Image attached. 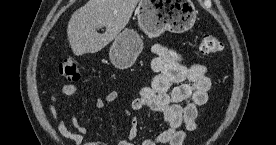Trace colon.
<instances>
[{
  "instance_id": "1",
  "label": "colon",
  "mask_w": 276,
  "mask_h": 145,
  "mask_svg": "<svg viewBox=\"0 0 276 145\" xmlns=\"http://www.w3.org/2000/svg\"><path fill=\"white\" fill-rule=\"evenodd\" d=\"M199 48L204 55H215L221 52L222 43L213 35L204 34L200 38ZM59 73L69 81H78L81 78L76 63L70 58L60 63Z\"/></svg>"
}]
</instances>
